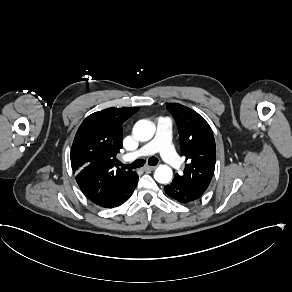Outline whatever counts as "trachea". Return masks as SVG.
<instances>
[{"label": "trachea", "mask_w": 292, "mask_h": 292, "mask_svg": "<svg viewBox=\"0 0 292 292\" xmlns=\"http://www.w3.org/2000/svg\"><path fill=\"white\" fill-rule=\"evenodd\" d=\"M158 162H159V160L156 157H150L148 160V164L152 165V166L157 165ZM144 164H145V160L138 159V160H136L133 163L128 164V165H124L122 163H120L119 165L122 167V169H135V168H140V167L144 166Z\"/></svg>", "instance_id": "1"}]
</instances>
